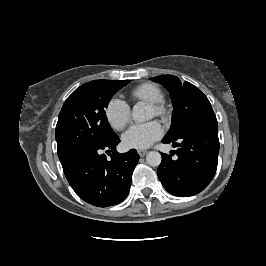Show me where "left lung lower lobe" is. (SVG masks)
<instances>
[{
  "mask_svg": "<svg viewBox=\"0 0 266 266\" xmlns=\"http://www.w3.org/2000/svg\"><path fill=\"white\" fill-rule=\"evenodd\" d=\"M180 142V143H178ZM179 147L177 158L162 153L158 177L172 195L188 197L198 194L213 179L219 152L218 122L216 116L194 124L174 139H163Z\"/></svg>",
  "mask_w": 266,
  "mask_h": 266,
  "instance_id": "obj_1",
  "label": "left lung lower lobe"
}]
</instances>
